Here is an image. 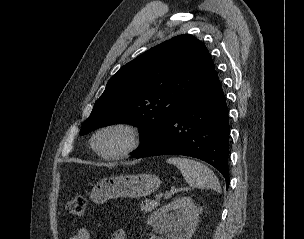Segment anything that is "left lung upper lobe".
I'll return each instance as SVG.
<instances>
[{"label": "left lung upper lobe", "instance_id": "5c2ea615", "mask_svg": "<svg viewBox=\"0 0 304 239\" xmlns=\"http://www.w3.org/2000/svg\"><path fill=\"white\" fill-rule=\"evenodd\" d=\"M213 71L214 63L200 40L188 34L167 40L110 78L80 134L128 123L140 128L143 148L167 127Z\"/></svg>", "mask_w": 304, "mask_h": 239}]
</instances>
